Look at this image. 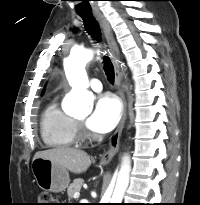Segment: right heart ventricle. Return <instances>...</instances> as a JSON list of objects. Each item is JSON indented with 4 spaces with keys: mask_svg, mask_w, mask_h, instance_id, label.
I'll use <instances>...</instances> for the list:
<instances>
[{
    "mask_svg": "<svg viewBox=\"0 0 200 205\" xmlns=\"http://www.w3.org/2000/svg\"><path fill=\"white\" fill-rule=\"evenodd\" d=\"M40 132L45 145L51 148H68L76 142L75 120L60 109L56 98L42 111Z\"/></svg>",
    "mask_w": 200,
    "mask_h": 205,
    "instance_id": "e07e8e85",
    "label": "right heart ventricle"
}]
</instances>
